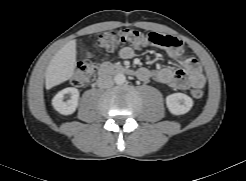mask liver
Returning <instances> with one entry per match:
<instances>
[{
  "label": "liver",
  "mask_w": 246,
  "mask_h": 181,
  "mask_svg": "<svg viewBox=\"0 0 246 181\" xmlns=\"http://www.w3.org/2000/svg\"><path fill=\"white\" fill-rule=\"evenodd\" d=\"M76 40L67 42L52 58L46 69V89L69 80L74 75L76 66Z\"/></svg>",
  "instance_id": "obj_1"
}]
</instances>
